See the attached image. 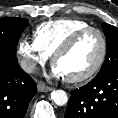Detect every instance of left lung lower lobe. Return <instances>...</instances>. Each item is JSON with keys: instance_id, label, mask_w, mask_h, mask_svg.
Here are the masks:
<instances>
[{"instance_id": "left-lung-lower-lobe-1", "label": "left lung lower lobe", "mask_w": 118, "mask_h": 118, "mask_svg": "<svg viewBox=\"0 0 118 118\" xmlns=\"http://www.w3.org/2000/svg\"><path fill=\"white\" fill-rule=\"evenodd\" d=\"M65 118H118V70L71 91Z\"/></svg>"}]
</instances>
